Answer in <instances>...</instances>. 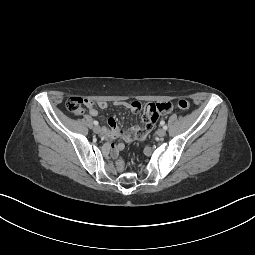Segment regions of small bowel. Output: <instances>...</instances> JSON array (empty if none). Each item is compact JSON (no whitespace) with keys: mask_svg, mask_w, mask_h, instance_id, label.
I'll return each mask as SVG.
<instances>
[{"mask_svg":"<svg viewBox=\"0 0 255 255\" xmlns=\"http://www.w3.org/2000/svg\"><path fill=\"white\" fill-rule=\"evenodd\" d=\"M115 104L130 108L133 111L144 108L145 116L143 127H136L131 129H119L117 121L113 117H110L107 120V127L104 128L103 131L104 137L109 141H112L116 138H120L122 140L121 142L112 145L114 153H117L123 149L124 142L144 140L153 128L155 121L161 119L163 115L171 114L175 108V103L172 100L163 101L161 103H149L146 105L137 101L132 102L131 104L127 102H117ZM107 106L108 104L105 101H100L97 103L90 101L88 104L89 114L91 116H96L98 114V108L103 109Z\"/></svg>","mask_w":255,"mask_h":255,"instance_id":"small-bowel-1","label":"small bowel"}]
</instances>
